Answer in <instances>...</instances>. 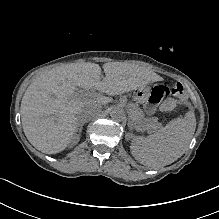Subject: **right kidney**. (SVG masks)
Listing matches in <instances>:
<instances>
[{
	"mask_svg": "<svg viewBox=\"0 0 219 219\" xmlns=\"http://www.w3.org/2000/svg\"><path fill=\"white\" fill-rule=\"evenodd\" d=\"M78 136V135H77ZM77 136H74L73 137V140L75 141V139L77 138ZM82 136V135H81ZM80 135H79V138L81 137ZM79 142V141H78Z\"/></svg>",
	"mask_w": 219,
	"mask_h": 219,
	"instance_id": "ca27d5eb",
	"label": "right kidney"
}]
</instances>
